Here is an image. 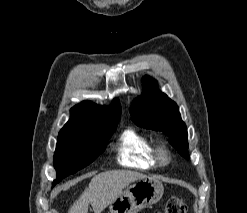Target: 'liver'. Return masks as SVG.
Segmentation results:
<instances>
[{
  "mask_svg": "<svg viewBox=\"0 0 247 213\" xmlns=\"http://www.w3.org/2000/svg\"><path fill=\"white\" fill-rule=\"evenodd\" d=\"M146 177L144 174L130 170H113L95 175L68 213H88L89 204L94 213H101L125 187Z\"/></svg>",
  "mask_w": 247,
  "mask_h": 213,
  "instance_id": "1",
  "label": "liver"
}]
</instances>
